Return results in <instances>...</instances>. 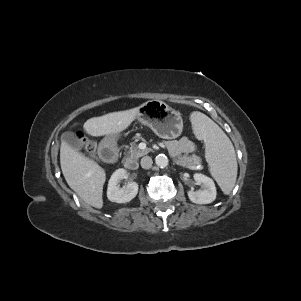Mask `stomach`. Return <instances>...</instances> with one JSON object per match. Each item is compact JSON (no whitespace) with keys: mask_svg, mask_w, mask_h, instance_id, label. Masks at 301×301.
I'll use <instances>...</instances> for the list:
<instances>
[{"mask_svg":"<svg viewBox=\"0 0 301 301\" xmlns=\"http://www.w3.org/2000/svg\"><path fill=\"white\" fill-rule=\"evenodd\" d=\"M138 109V120L151 128L157 136L174 139L181 135L183 119L180 112L170 108L164 102L151 100Z\"/></svg>","mask_w":301,"mask_h":301,"instance_id":"1","label":"stomach"}]
</instances>
